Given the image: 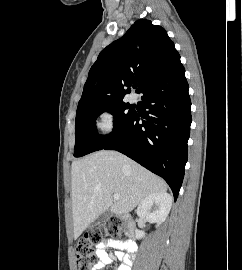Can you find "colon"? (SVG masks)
Instances as JSON below:
<instances>
[{"label":"colon","mask_w":242,"mask_h":270,"mask_svg":"<svg viewBox=\"0 0 242 270\" xmlns=\"http://www.w3.org/2000/svg\"><path fill=\"white\" fill-rule=\"evenodd\" d=\"M127 228V222L112 218L80 237L75 244L77 269L93 270L96 262L94 247L105 238L117 239L125 236Z\"/></svg>","instance_id":"1"}]
</instances>
